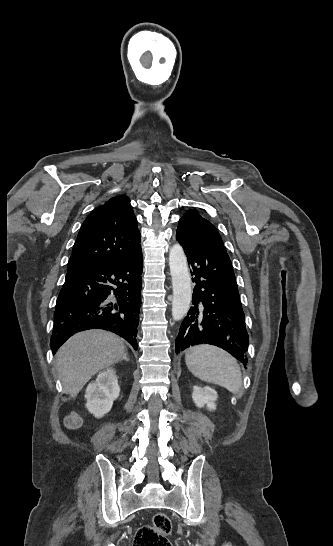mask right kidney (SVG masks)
Returning a JSON list of instances; mask_svg holds the SVG:
<instances>
[{"mask_svg": "<svg viewBox=\"0 0 333 546\" xmlns=\"http://www.w3.org/2000/svg\"><path fill=\"white\" fill-rule=\"evenodd\" d=\"M119 393L120 387L115 370L108 368L100 372L97 379L87 386L86 408L95 417L101 418L111 410L113 401L119 397Z\"/></svg>", "mask_w": 333, "mask_h": 546, "instance_id": "ca27d5eb", "label": "right kidney"}]
</instances>
